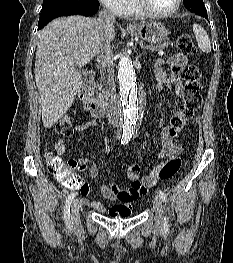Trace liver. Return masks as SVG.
<instances>
[{
	"label": "liver",
	"mask_w": 233,
	"mask_h": 263,
	"mask_svg": "<svg viewBox=\"0 0 233 263\" xmlns=\"http://www.w3.org/2000/svg\"><path fill=\"white\" fill-rule=\"evenodd\" d=\"M114 38L113 26L103 30L98 20L79 15L54 19L38 33L35 81L45 128L58 122L75 99L82 80L77 62L91 61L104 41L110 43Z\"/></svg>",
	"instance_id": "1"
}]
</instances>
